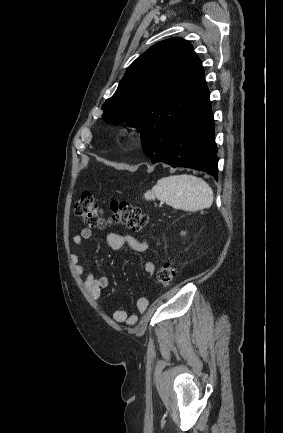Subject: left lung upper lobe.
I'll use <instances>...</instances> for the list:
<instances>
[{"label": "left lung upper lobe", "mask_w": 283, "mask_h": 433, "mask_svg": "<svg viewBox=\"0 0 283 433\" xmlns=\"http://www.w3.org/2000/svg\"><path fill=\"white\" fill-rule=\"evenodd\" d=\"M203 68L182 38L156 43L127 69L115 94L102 106L106 123L148 131L195 115L203 105Z\"/></svg>", "instance_id": "obj_1"}]
</instances>
